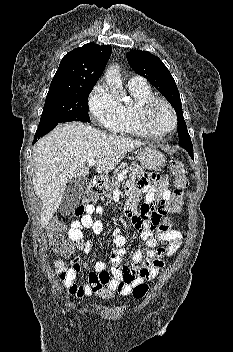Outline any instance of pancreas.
<instances>
[{
    "mask_svg": "<svg viewBox=\"0 0 233 352\" xmlns=\"http://www.w3.org/2000/svg\"><path fill=\"white\" fill-rule=\"evenodd\" d=\"M125 168L129 169L128 178L130 179V181L140 179L143 175V171H142L141 167L139 165H137L136 163H132L130 166H128L127 164L120 165L116 169L114 176L111 178V180H107L105 183V188H106L105 197L107 199L111 198L113 190L120 185V181L118 180V176Z\"/></svg>",
    "mask_w": 233,
    "mask_h": 352,
    "instance_id": "1",
    "label": "pancreas"
}]
</instances>
